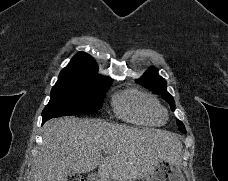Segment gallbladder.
I'll return each instance as SVG.
<instances>
[{"label":"gallbladder","mask_w":228,"mask_h":181,"mask_svg":"<svg viewBox=\"0 0 228 181\" xmlns=\"http://www.w3.org/2000/svg\"><path fill=\"white\" fill-rule=\"evenodd\" d=\"M75 171H70L69 175H74Z\"/></svg>","instance_id":"bac80fb5"}]
</instances>
